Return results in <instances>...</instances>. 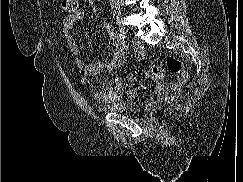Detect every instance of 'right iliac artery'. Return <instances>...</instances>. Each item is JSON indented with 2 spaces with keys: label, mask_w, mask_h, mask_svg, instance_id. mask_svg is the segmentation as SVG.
I'll use <instances>...</instances> for the list:
<instances>
[{
  "label": "right iliac artery",
  "mask_w": 243,
  "mask_h": 182,
  "mask_svg": "<svg viewBox=\"0 0 243 182\" xmlns=\"http://www.w3.org/2000/svg\"><path fill=\"white\" fill-rule=\"evenodd\" d=\"M116 35H117V38H118L119 40H122V41L125 40V35H124V34H122V33H117Z\"/></svg>",
  "instance_id": "1"
}]
</instances>
